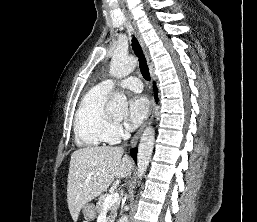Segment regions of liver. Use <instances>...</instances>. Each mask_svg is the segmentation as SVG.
<instances>
[{"mask_svg":"<svg viewBox=\"0 0 257 222\" xmlns=\"http://www.w3.org/2000/svg\"><path fill=\"white\" fill-rule=\"evenodd\" d=\"M120 147H86L71 155L67 203L74 222L88 202L105 191L114 179L131 175L133 164Z\"/></svg>","mask_w":257,"mask_h":222,"instance_id":"1","label":"liver"}]
</instances>
